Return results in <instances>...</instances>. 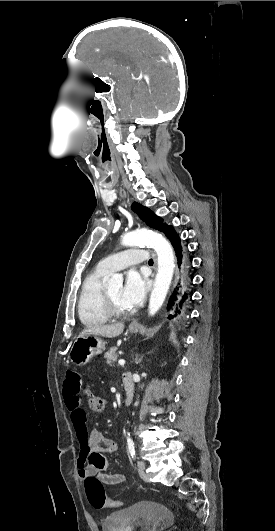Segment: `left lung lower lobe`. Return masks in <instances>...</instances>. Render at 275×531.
<instances>
[{"mask_svg": "<svg viewBox=\"0 0 275 531\" xmlns=\"http://www.w3.org/2000/svg\"><path fill=\"white\" fill-rule=\"evenodd\" d=\"M164 234L173 245L178 265V279L167 304L168 318L171 319L181 317L185 313L190 287V279L188 276L190 260L179 235L171 226L165 230Z\"/></svg>", "mask_w": 275, "mask_h": 531, "instance_id": "1", "label": "left lung lower lobe"}]
</instances>
